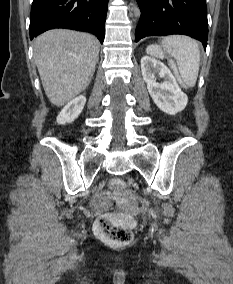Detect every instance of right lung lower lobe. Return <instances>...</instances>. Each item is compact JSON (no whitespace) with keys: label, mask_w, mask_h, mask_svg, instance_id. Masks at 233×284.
<instances>
[{"label":"right lung lower lobe","mask_w":233,"mask_h":284,"mask_svg":"<svg viewBox=\"0 0 233 284\" xmlns=\"http://www.w3.org/2000/svg\"><path fill=\"white\" fill-rule=\"evenodd\" d=\"M108 0H33L30 39L53 28L91 32L104 41Z\"/></svg>","instance_id":"right-lung-lower-lobe-1"}]
</instances>
